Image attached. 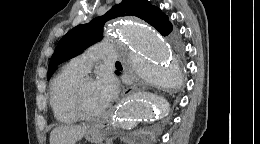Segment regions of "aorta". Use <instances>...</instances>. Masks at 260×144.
<instances>
[{"instance_id":"obj_1","label":"aorta","mask_w":260,"mask_h":144,"mask_svg":"<svg viewBox=\"0 0 260 144\" xmlns=\"http://www.w3.org/2000/svg\"><path fill=\"white\" fill-rule=\"evenodd\" d=\"M112 33L123 45L121 57L126 66L143 81L165 88L177 86L179 66L175 55L153 27L132 19L113 24ZM166 105L164 98L139 92L122 101L114 117L121 126L135 127L158 119Z\"/></svg>"}]
</instances>
